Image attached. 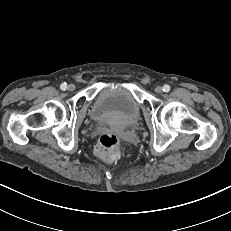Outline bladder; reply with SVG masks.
<instances>
[{"mask_svg":"<svg viewBox=\"0 0 231 231\" xmlns=\"http://www.w3.org/2000/svg\"><path fill=\"white\" fill-rule=\"evenodd\" d=\"M139 116V104L124 86L103 88L95 97L90 111L93 121L120 127L133 125Z\"/></svg>","mask_w":231,"mask_h":231,"instance_id":"obj_1","label":"bladder"}]
</instances>
